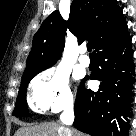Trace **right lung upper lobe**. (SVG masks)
I'll return each mask as SVG.
<instances>
[{"label":"right lung upper lobe","mask_w":136,"mask_h":136,"mask_svg":"<svg viewBox=\"0 0 136 136\" xmlns=\"http://www.w3.org/2000/svg\"><path fill=\"white\" fill-rule=\"evenodd\" d=\"M67 28L79 43L85 39L91 42L95 52L128 34L123 11L116 0H73L68 21L63 20L58 11L43 21L33 37L22 79L57 62L64 48Z\"/></svg>","instance_id":"1"}]
</instances>
